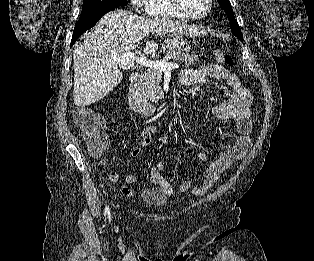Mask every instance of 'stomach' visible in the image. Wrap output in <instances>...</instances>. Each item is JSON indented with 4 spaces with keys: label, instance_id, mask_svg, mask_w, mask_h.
Wrapping results in <instances>:
<instances>
[{
    "label": "stomach",
    "instance_id": "0dacf381",
    "mask_svg": "<svg viewBox=\"0 0 314 261\" xmlns=\"http://www.w3.org/2000/svg\"><path fill=\"white\" fill-rule=\"evenodd\" d=\"M167 49L181 53H188L191 49L190 43L183 38L182 34L174 33L165 42Z\"/></svg>",
    "mask_w": 314,
    "mask_h": 261
}]
</instances>
